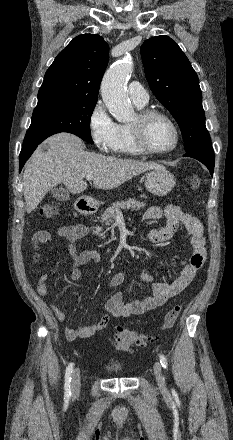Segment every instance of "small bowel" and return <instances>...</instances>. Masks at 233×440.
Masks as SVG:
<instances>
[{"label":"small bowel","mask_w":233,"mask_h":440,"mask_svg":"<svg viewBox=\"0 0 233 440\" xmlns=\"http://www.w3.org/2000/svg\"><path fill=\"white\" fill-rule=\"evenodd\" d=\"M144 219H163L164 226L160 229H153L147 233V240L152 244H162L169 241L176 233L179 225H183L190 235L192 255L188 263H183V269L178 277L171 283L155 280L146 270L140 273L143 282L150 283L152 295L144 299H137L124 302L123 294L115 292L106 302L105 314L98 322L85 325L65 328V336L69 341L79 337L87 338L98 331L105 329L111 318H127L135 315L145 314L157 307L164 305L168 299L180 294L193 280L198 270L202 268L206 259V240L203 235V227L199 219L182 210L178 205L170 204L164 210L158 205H153L144 213ZM55 234L65 237L68 240V252L73 260L69 278L78 281L82 277V266L90 262H98L100 254L95 250H84L79 252L76 243L88 234V227L82 223L71 224L57 228ZM53 233L48 230L37 232L33 237V247L38 250L49 241ZM127 278V272L114 273L108 281V288L120 286ZM49 279L46 273L41 274L38 280L37 293L45 296L49 289ZM51 310L57 320L63 322L67 315L56 305H51Z\"/></svg>","instance_id":"obj_1"}]
</instances>
